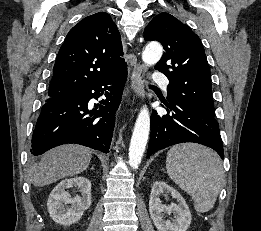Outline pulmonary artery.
<instances>
[{
	"mask_svg": "<svg viewBox=\"0 0 261 231\" xmlns=\"http://www.w3.org/2000/svg\"><path fill=\"white\" fill-rule=\"evenodd\" d=\"M153 82L164 88H167L169 85V80L167 76L163 73H155V75L153 76Z\"/></svg>",
	"mask_w": 261,
	"mask_h": 231,
	"instance_id": "e3ab8cb5",
	"label": "pulmonary artery"
}]
</instances>
